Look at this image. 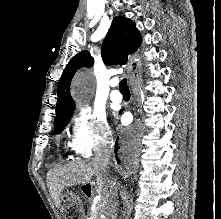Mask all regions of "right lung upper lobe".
Listing matches in <instances>:
<instances>
[{
    "label": "right lung upper lobe",
    "instance_id": "right-lung-upper-lobe-1",
    "mask_svg": "<svg viewBox=\"0 0 221 219\" xmlns=\"http://www.w3.org/2000/svg\"><path fill=\"white\" fill-rule=\"evenodd\" d=\"M141 36L134 23L125 17H114L107 36L102 44V58L105 64L125 65L128 56L137 51ZM93 58L88 51L75 55L67 64L57 87L56 118L75 108L70 95V82L75 72L82 67H90Z\"/></svg>",
    "mask_w": 221,
    "mask_h": 219
}]
</instances>
